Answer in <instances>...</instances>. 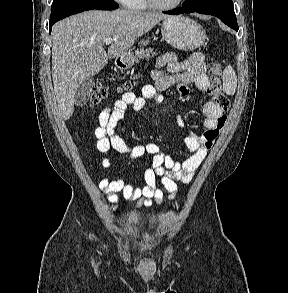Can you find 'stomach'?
Returning a JSON list of instances; mask_svg holds the SVG:
<instances>
[{
  "instance_id": "0dacf381",
  "label": "stomach",
  "mask_w": 288,
  "mask_h": 293,
  "mask_svg": "<svg viewBox=\"0 0 288 293\" xmlns=\"http://www.w3.org/2000/svg\"><path fill=\"white\" fill-rule=\"evenodd\" d=\"M161 32L168 44L184 51L201 47L206 39L202 26L183 16H169L164 19ZM141 44L146 45L148 41H142ZM134 60L133 53L128 52L117 58L116 66L120 70H125L133 65Z\"/></svg>"
}]
</instances>
